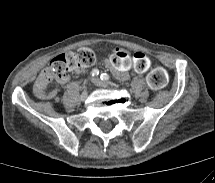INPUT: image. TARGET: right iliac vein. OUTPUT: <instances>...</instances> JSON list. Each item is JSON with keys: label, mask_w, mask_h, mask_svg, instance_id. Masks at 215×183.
<instances>
[{"label": "right iliac vein", "mask_w": 215, "mask_h": 183, "mask_svg": "<svg viewBox=\"0 0 215 183\" xmlns=\"http://www.w3.org/2000/svg\"><path fill=\"white\" fill-rule=\"evenodd\" d=\"M87 96H88V91L86 89H84L80 98L82 101H85L87 99Z\"/></svg>", "instance_id": "63e3f726"}]
</instances>
